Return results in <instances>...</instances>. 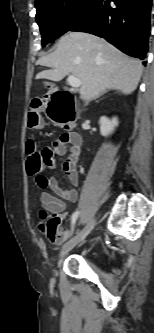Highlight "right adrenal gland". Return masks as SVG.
Returning a JSON list of instances; mask_svg holds the SVG:
<instances>
[{"instance_id": "right-adrenal-gland-1", "label": "right adrenal gland", "mask_w": 154, "mask_h": 333, "mask_svg": "<svg viewBox=\"0 0 154 333\" xmlns=\"http://www.w3.org/2000/svg\"><path fill=\"white\" fill-rule=\"evenodd\" d=\"M107 91H109V89L108 90H105V91H102L99 95H97L95 98H93V99H97L100 95H103L104 93H106Z\"/></svg>"}]
</instances>
